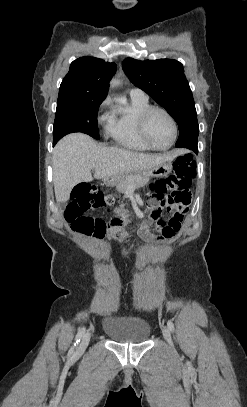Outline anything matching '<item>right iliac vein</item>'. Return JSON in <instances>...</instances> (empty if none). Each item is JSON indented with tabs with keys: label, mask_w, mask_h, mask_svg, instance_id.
I'll return each instance as SVG.
<instances>
[{
	"label": "right iliac vein",
	"mask_w": 247,
	"mask_h": 407,
	"mask_svg": "<svg viewBox=\"0 0 247 407\" xmlns=\"http://www.w3.org/2000/svg\"><path fill=\"white\" fill-rule=\"evenodd\" d=\"M90 338H91V334H90L89 332L86 333V334L83 336V338H82V340H81V343H80V345H79V348H78V350H77V353H78V354H82V353L85 351V349L87 348V346H88V344H89Z\"/></svg>",
	"instance_id": "63e3f726"
}]
</instances>
